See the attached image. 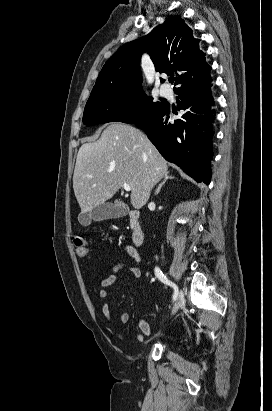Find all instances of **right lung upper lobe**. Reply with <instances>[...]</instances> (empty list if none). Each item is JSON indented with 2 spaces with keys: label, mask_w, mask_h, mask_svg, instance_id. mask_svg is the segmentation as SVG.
Instances as JSON below:
<instances>
[{
  "label": "right lung upper lobe",
  "mask_w": 272,
  "mask_h": 411,
  "mask_svg": "<svg viewBox=\"0 0 272 411\" xmlns=\"http://www.w3.org/2000/svg\"><path fill=\"white\" fill-rule=\"evenodd\" d=\"M199 39L179 16L170 17L150 34L126 43L103 66L92 91L114 85H140V60L144 52L150 55L160 73L178 72V88L198 83L209 76L210 66L199 50ZM164 80L161 79V82Z\"/></svg>",
  "instance_id": "1"
}]
</instances>
